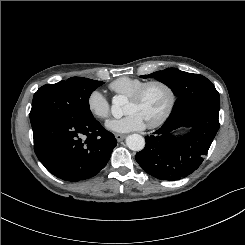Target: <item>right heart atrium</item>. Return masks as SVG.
Segmentation results:
<instances>
[{"label":"right heart atrium","mask_w":245,"mask_h":245,"mask_svg":"<svg viewBox=\"0 0 245 245\" xmlns=\"http://www.w3.org/2000/svg\"><path fill=\"white\" fill-rule=\"evenodd\" d=\"M89 112L97 119L106 120L110 115V103L100 90H93L86 100Z\"/></svg>","instance_id":"1"}]
</instances>
